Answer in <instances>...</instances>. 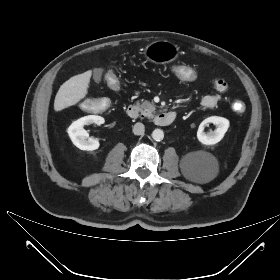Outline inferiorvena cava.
Returning <instances> with one entry per match:
<instances>
[{
  "label": "inferior vena cava",
  "mask_w": 280,
  "mask_h": 280,
  "mask_svg": "<svg viewBox=\"0 0 280 280\" xmlns=\"http://www.w3.org/2000/svg\"><path fill=\"white\" fill-rule=\"evenodd\" d=\"M144 131H145V127H144V125L142 123H136L133 126V133L135 135H143Z\"/></svg>",
  "instance_id": "inferior-vena-cava-1"
}]
</instances>
